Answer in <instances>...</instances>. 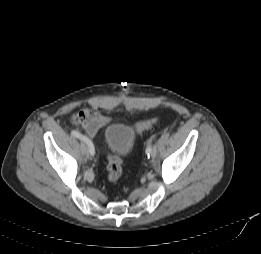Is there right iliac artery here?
Returning a JSON list of instances; mask_svg holds the SVG:
<instances>
[{
	"label": "right iliac artery",
	"instance_id": "right-iliac-artery-1",
	"mask_svg": "<svg viewBox=\"0 0 261 254\" xmlns=\"http://www.w3.org/2000/svg\"><path fill=\"white\" fill-rule=\"evenodd\" d=\"M71 134L76 137L79 138L81 141H83L84 143L87 144L88 149H89V153L91 155H94L95 153V149H94V145L91 142V140L89 138H87L86 136L82 135L81 133H79L77 130H72Z\"/></svg>",
	"mask_w": 261,
	"mask_h": 254
}]
</instances>
